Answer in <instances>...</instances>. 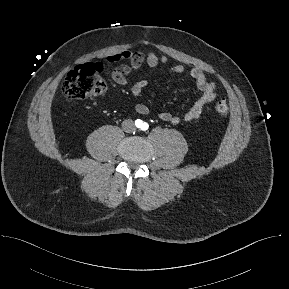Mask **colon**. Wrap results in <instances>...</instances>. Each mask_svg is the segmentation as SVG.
I'll return each mask as SVG.
<instances>
[{
  "label": "colon",
  "mask_w": 289,
  "mask_h": 289,
  "mask_svg": "<svg viewBox=\"0 0 289 289\" xmlns=\"http://www.w3.org/2000/svg\"><path fill=\"white\" fill-rule=\"evenodd\" d=\"M103 66L100 63H85L72 69L62 84V91L70 99H87L102 94L106 84L101 76ZM215 111L225 116L229 112L227 103L219 100L215 104Z\"/></svg>",
  "instance_id": "1"
}]
</instances>
